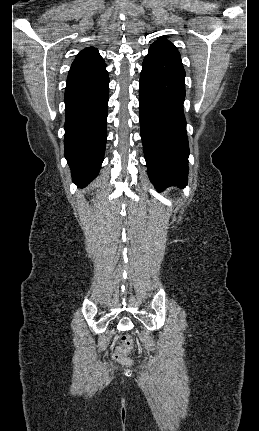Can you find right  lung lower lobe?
I'll return each instance as SVG.
<instances>
[{
    "label": "right lung lower lobe",
    "mask_w": 259,
    "mask_h": 431,
    "mask_svg": "<svg viewBox=\"0 0 259 431\" xmlns=\"http://www.w3.org/2000/svg\"><path fill=\"white\" fill-rule=\"evenodd\" d=\"M109 75L106 64L71 72L65 89V151L78 187L99 173L107 137Z\"/></svg>",
    "instance_id": "obj_1"
}]
</instances>
